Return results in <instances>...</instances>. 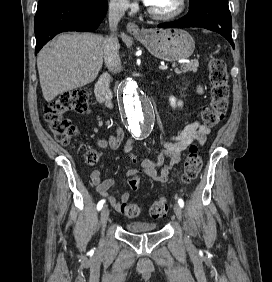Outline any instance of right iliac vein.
Listing matches in <instances>:
<instances>
[{
  "instance_id": "obj_1",
  "label": "right iliac vein",
  "mask_w": 272,
  "mask_h": 282,
  "mask_svg": "<svg viewBox=\"0 0 272 282\" xmlns=\"http://www.w3.org/2000/svg\"><path fill=\"white\" fill-rule=\"evenodd\" d=\"M109 218V209L107 206L103 207L100 212V222L103 228H105Z\"/></svg>"
}]
</instances>
